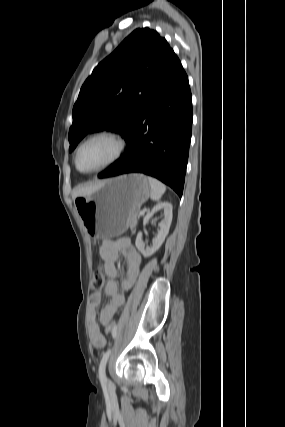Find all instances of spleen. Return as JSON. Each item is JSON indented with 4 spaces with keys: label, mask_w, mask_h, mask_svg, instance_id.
Listing matches in <instances>:
<instances>
[{
    "label": "spleen",
    "mask_w": 285,
    "mask_h": 427,
    "mask_svg": "<svg viewBox=\"0 0 285 427\" xmlns=\"http://www.w3.org/2000/svg\"><path fill=\"white\" fill-rule=\"evenodd\" d=\"M148 182H149L150 187H151V194H150L151 199L153 201H159L161 199L162 195L166 191L165 185L162 182H160L159 180L152 178V177H148Z\"/></svg>",
    "instance_id": "spleen-1"
}]
</instances>
